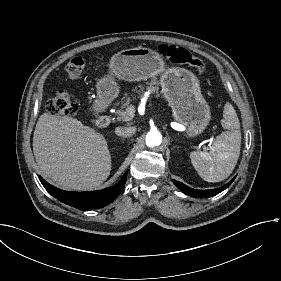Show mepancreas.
I'll return each mask as SVG.
<instances>
[{
    "label": "pancreas",
    "instance_id": "cf45deb5",
    "mask_svg": "<svg viewBox=\"0 0 281 281\" xmlns=\"http://www.w3.org/2000/svg\"><path fill=\"white\" fill-rule=\"evenodd\" d=\"M147 84L149 85L147 88H152L153 92H155L158 89V87H156L157 82L155 80H153L152 82L147 83ZM144 89L145 88L142 85H140L139 90H137V88H135L134 91H136L140 95V97H142L144 94ZM131 101L132 100L129 97L125 100V102L123 103V105L121 107L122 109H125V110H119L117 112V115H118L117 120H122V116L125 114V112L128 110V108L132 106L130 104Z\"/></svg>",
    "mask_w": 281,
    "mask_h": 281
}]
</instances>
